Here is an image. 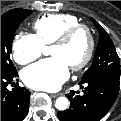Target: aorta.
Instances as JSON below:
<instances>
[{"mask_svg": "<svg viewBox=\"0 0 121 121\" xmlns=\"http://www.w3.org/2000/svg\"><path fill=\"white\" fill-rule=\"evenodd\" d=\"M49 47L45 46L43 47L42 49V52L44 55H48L49 54ZM69 106V101L66 97H59L56 99V102H55V107L60 110V111H64L68 108Z\"/></svg>", "mask_w": 121, "mask_h": 121, "instance_id": "1", "label": "aorta"}]
</instances>
